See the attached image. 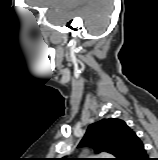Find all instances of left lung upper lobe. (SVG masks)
<instances>
[{
  "label": "left lung upper lobe",
  "instance_id": "obj_1",
  "mask_svg": "<svg viewBox=\"0 0 158 160\" xmlns=\"http://www.w3.org/2000/svg\"><path fill=\"white\" fill-rule=\"evenodd\" d=\"M134 131L117 118L102 119L88 126L78 147H92L96 153L106 151L120 160L127 148L128 141ZM60 160H99L61 158Z\"/></svg>",
  "mask_w": 158,
  "mask_h": 160
}]
</instances>
